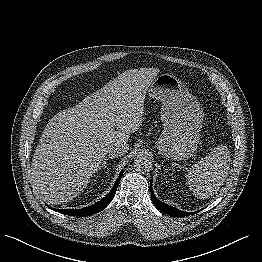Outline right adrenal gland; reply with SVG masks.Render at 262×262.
<instances>
[{
  "label": "right adrenal gland",
  "mask_w": 262,
  "mask_h": 262,
  "mask_svg": "<svg viewBox=\"0 0 262 262\" xmlns=\"http://www.w3.org/2000/svg\"><path fill=\"white\" fill-rule=\"evenodd\" d=\"M109 159H113V157H111V156L105 157L104 161L102 162V164L100 166V169H101V167L104 168V169L107 167V165H108L107 160H109Z\"/></svg>",
  "instance_id": "right-adrenal-gland-1"
}]
</instances>
